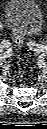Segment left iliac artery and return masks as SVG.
<instances>
[{"mask_svg":"<svg viewBox=\"0 0 47 129\" xmlns=\"http://www.w3.org/2000/svg\"><path fill=\"white\" fill-rule=\"evenodd\" d=\"M33 46H35V48H36V50H39V49H45V50H47V47L46 46H42V45H39V44H35V43H33Z\"/></svg>","mask_w":47,"mask_h":129,"instance_id":"left-iliac-artery-1","label":"left iliac artery"}]
</instances>
